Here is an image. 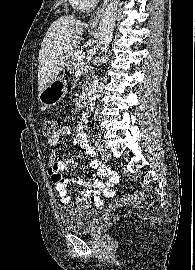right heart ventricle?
Returning <instances> with one entry per match:
<instances>
[{
	"mask_svg": "<svg viewBox=\"0 0 195 270\" xmlns=\"http://www.w3.org/2000/svg\"><path fill=\"white\" fill-rule=\"evenodd\" d=\"M71 5L79 11H88L92 3L88 0H70Z\"/></svg>",
	"mask_w": 195,
	"mask_h": 270,
	"instance_id": "1",
	"label": "right heart ventricle"
}]
</instances>
